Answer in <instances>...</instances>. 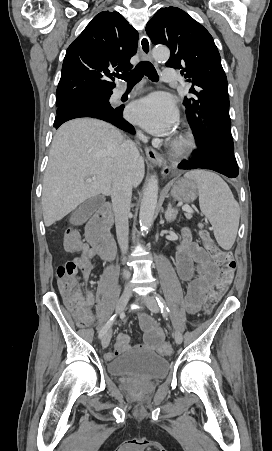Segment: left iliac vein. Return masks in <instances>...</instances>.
<instances>
[{
  "label": "left iliac vein",
  "mask_w": 272,
  "mask_h": 451,
  "mask_svg": "<svg viewBox=\"0 0 272 451\" xmlns=\"http://www.w3.org/2000/svg\"><path fill=\"white\" fill-rule=\"evenodd\" d=\"M141 302H143L148 307V309L154 313H158L160 311L157 300L152 296L147 295L144 299L141 300ZM174 341L177 345H180L182 343V335L180 332L175 331Z\"/></svg>",
  "instance_id": "4c4485c4"
}]
</instances>
